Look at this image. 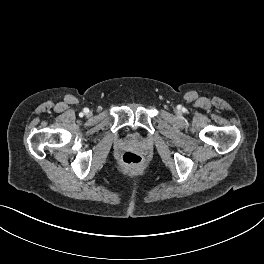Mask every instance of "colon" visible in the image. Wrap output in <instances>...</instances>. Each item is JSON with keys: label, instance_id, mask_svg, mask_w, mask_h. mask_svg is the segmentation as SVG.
Returning <instances> with one entry per match:
<instances>
[{"label": "colon", "instance_id": "colon-1", "mask_svg": "<svg viewBox=\"0 0 264 264\" xmlns=\"http://www.w3.org/2000/svg\"><path fill=\"white\" fill-rule=\"evenodd\" d=\"M123 169L127 171H138L143 167V158L134 152H125L120 160Z\"/></svg>", "mask_w": 264, "mask_h": 264}]
</instances>
